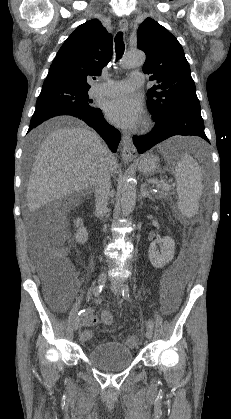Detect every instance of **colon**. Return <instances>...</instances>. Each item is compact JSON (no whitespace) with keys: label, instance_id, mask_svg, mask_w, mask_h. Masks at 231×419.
Segmentation results:
<instances>
[{"label":"colon","instance_id":"5ec220e1","mask_svg":"<svg viewBox=\"0 0 231 419\" xmlns=\"http://www.w3.org/2000/svg\"><path fill=\"white\" fill-rule=\"evenodd\" d=\"M42 259L41 269L47 285L52 290L66 291L69 284L74 281L75 275L65 258L64 248L57 247L47 252ZM101 319L106 325L113 323V315L108 311L102 313ZM127 344L136 346L137 340L130 338L127 340Z\"/></svg>","mask_w":231,"mask_h":419}]
</instances>
